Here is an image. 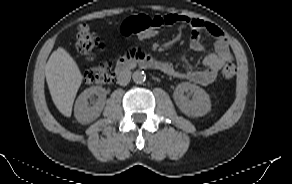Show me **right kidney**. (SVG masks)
<instances>
[{"mask_svg": "<svg viewBox=\"0 0 292 184\" xmlns=\"http://www.w3.org/2000/svg\"><path fill=\"white\" fill-rule=\"evenodd\" d=\"M94 95L98 98L95 99ZM90 99V104L88 102ZM106 91L102 87L94 86L84 90L76 100L74 114L78 122L88 124L99 117L104 108Z\"/></svg>", "mask_w": 292, "mask_h": 184, "instance_id": "ca27d5eb", "label": "right kidney"}]
</instances>
